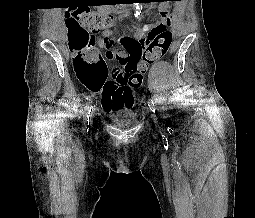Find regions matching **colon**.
<instances>
[{"label": "colon", "mask_w": 255, "mask_h": 218, "mask_svg": "<svg viewBox=\"0 0 255 218\" xmlns=\"http://www.w3.org/2000/svg\"><path fill=\"white\" fill-rule=\"evenodd\" d=\"M174 1V0H165ZM115 22L112 15H102L87 8H74L66 13L68 47L77 80L88 90L103 92V105L109 111L132 108V88L142 84L143 72L152 62L162 58L171 44V33L166 25L171 19L166 12L155 24H145L135 36H121L120 50H112L109 42L106 52L96 45L95 33L109 30ZM125 60L123 70L110 71L106 60Z\"/></svg>", "instance_id": "obj_1"}]
</instances>
